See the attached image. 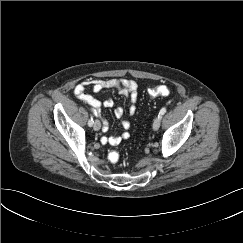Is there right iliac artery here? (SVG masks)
<instances>
[{
    "mask_svg": "<svg viewBox=\"0 0 243 243\" xmlns=\"http://www.w3.org/2000/svg\"><path fill=\"white\" fill-rule=\"evenodd\" d=\"M92 112H94L93 109H91ZM94 121H93V117L90 118V120L88 121V125L91 127L93 125Z\"/></svg>",
    "mask_w": 243,
    "mask_h": 243,
    "instance_id": "1",
    "label": "right iliac artery"
}]
</instances>
